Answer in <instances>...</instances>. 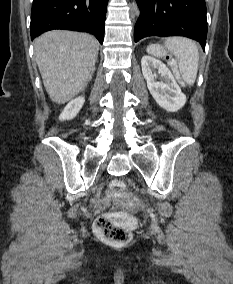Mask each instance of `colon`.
I'll list each match as a JSON object with an SVG mask.
<instances>
[{
    "label": "colon",
    "instance_id": "colon-1",
    "mask_svg": "<svg viewBox=\"0 0 233 284\" xmlns=\"http://www.w3.org/2000/svg\"><path fill=\"white\" fill-rule=\"evenodd\" d=\"M150 56L164 59L176 80L181 85L185 82L179 72L175 59L167 53V51L158 44H152L147 49ZM110 193L112 197L118 201H122L127 197L126 184L121 179H114L110 183ZM132 218L124 213L110 212L100 215L95 222V232L101 238L114 244H125L131 240L132 234L130 226L132 225Z\"/></svg>",
    "mask_w": 233,
    "mask_h": 284
}]
</instances>
